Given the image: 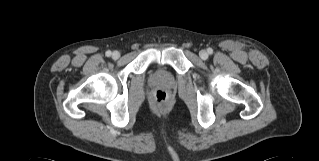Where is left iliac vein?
Returning a JSON list of instances; mask_svg holds the SVG:
<instances>
[{
	"label": "left iliac vein",
	"mask_w": 319,
	"mask_h": 161,
	"mask_svg": "<svg viewBox=\"0 0 319 161\" xmlns=\"http://www.w3.org/2000/svg\"><path fill=\"white\" fill-rule=\"evenodd\" d=\"M200 57L201 59L206 60L208 58V53L205 50H201Z\"/></svg>",
	"instance_id": "4c4485c4"
}]
</instances>
